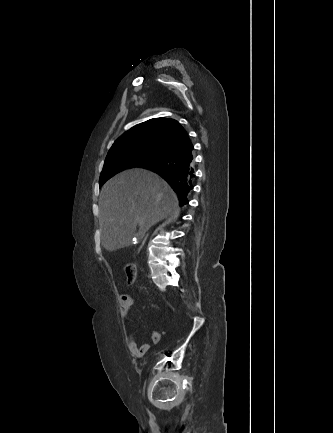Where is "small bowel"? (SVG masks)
Masks as SVG:
<instances>
[{
    "instance_id": "obj_1",
    "label": "small bowel",
    "mask_w": 333,
    "mask_h": 433,
    "mask_svg": "<svg viewBox=\"0 0 333 433\" xmlns=\"http://www.w3.org/2000/svg\"><path fill=\"white\" fill-rule=\"evenodd\" d=\"M132 305L133 298L131 295L122 294L120 296V315L125 325L131 321L129 312ZM151 339L154 344H157L161 340V334L158 331H153ZM128 345L131 353L136 357L144 356L150 349L149 343L139 344L132 335L129 336Z\"/></svg>"
}]
</instances>
